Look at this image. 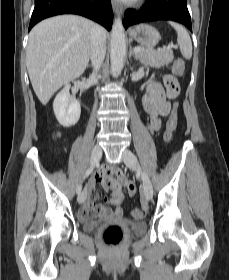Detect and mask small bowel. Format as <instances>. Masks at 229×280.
<instances>
[{"label":"small bowel","instance_id":"small-bowel-1","mask_svg":"<svg viewBox=\"0 0 229 280\" xmlns=\"http://www.w3.org/2000/svg\"><path fill=\"white\" fill-rule=\"evenodd\" d=\"M177 65L178 62L176 61L173 70L176 74L181 75L184 70V64L182 65L181 71L177 70ZM146 91V94L142 98V104L149 117L147 126L151 131H158L162 125L161 117H166L170 114L171 106L168 99L171 97L169 96L167 90H165L159 82L154 80H150L147 83ZM109 175H113V172L102 169L94 176V179L106 180ZM125 185L127 187L128 194L130 196L134 195L135 185L132 182H127ZM109 188L111 190V195L108 197L107 203L115 206L114 209H109L96 203L97 193L94 191L92 184L89 183L84 189L85 196L83 205L77 211L78 218L81 220L90 219L93 212H98L101 218H122V184L120 182L110 183Z\"/></svg>","mask_w":229,"mask_h":280}]
</instances>
